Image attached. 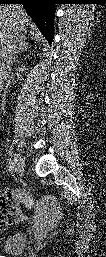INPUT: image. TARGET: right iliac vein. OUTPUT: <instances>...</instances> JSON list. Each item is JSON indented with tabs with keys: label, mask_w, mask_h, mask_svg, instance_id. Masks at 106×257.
I'll use <instances>...</instances> for the list:
<instances>
[{
	"label": "right iliac vein",
	"mask_w": 106,
	"mask_h": 257,
	"mask_svg": "<svg viewBox=\"0 0 106 257\" xmlns=\"http://www.w3.org/2000/svg\"><path fill=\"white\" fill-rule=\"evenodd\" d=\"M14 166L15 171L19 176H23L24 174V159L22 155L17 151L14 153Z\"/></svg>",
	"instance_id": "1"
}]
</instances>
